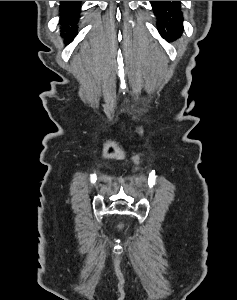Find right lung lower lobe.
Returning a JSON list of instances; mask_svg holds the SVG:
<instances>
[{
  "instance_id": "right-lung-lower-lobe-1",
  "label": "right lung lower lobe",
  "mask_w": 237,
  "mask_h": 300,
  "mask_svg": "<svg viewBox=\"0 0 237 300\" xmlns=\"http://www.w3.org/2000/svg\"><path fill=\"white\" fill-rule=\"evenodd\" d=\"M81 1H61L60 3V25L61 35L65 38V44H69L78 33V22L80 18Z\"/></svg>"
}]
</instances>
